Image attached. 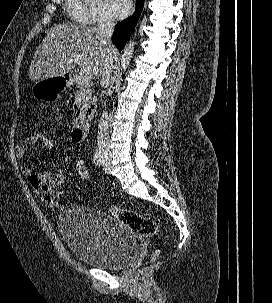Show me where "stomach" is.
<instances>
[{"label": "stomach", "instance_id": "stomach-1", "mask_svg": "<svg viewBox=\"0 0 272 303\" xmlns=\"http://www.w3.org/2000/svg\"><path fill=\"white\" fill-rule=\"evenodd\" d=\"M67 86L68 81L64 77H50L36 82L32 94L42 101H53L59 98Z\"/></svg>", "mask_w": 272, "mask_h": 303}]
</instances>
